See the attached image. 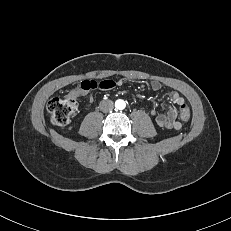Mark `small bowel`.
I'll list each match as a JSON object with an SVG mask.
<instances>
[{
    "label": "small bowel",
    "mask_w": 231,
    "mask_h": 231,
    "mask_svg": "<svg viewBox=\"0 0 231 231\" xmlns=\"http://www.w3.org/2000/svg\"><path fill=\"white\" fill-rule=\"evenodd\" d=\"M117 85L121 86L122 85V81H118ZM151 88L154 91H157L161 88V84L159 81H152L151 82ZM116 86V82L114 80H103L100 82L91 80H85L80 82L76 88L72 91L73 94H75L77 97L81 96V97H85L88 103L92 102V98L89 95V91L91 89L94 88H100L103 90H108V89H112ZM170 101H171V105H165V113L163 114H158L156 115V111L155 110H151L150 114L152 116L156 115V123L165 129H175L178 130L181 128V123L180 121L177 119V115H178V110L181 111L183 106H186V102L184 100V98L182 96H180L176 91H172L169 95Z\"/></svg>",
    "instance_id": "small-bowel-1"
}]
</instances>
